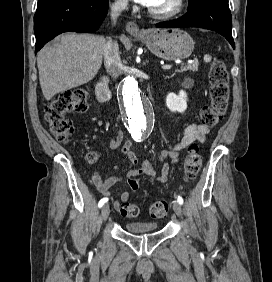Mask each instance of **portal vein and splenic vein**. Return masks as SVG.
Returning a JSON list of instances; mask_svg holds the SVG:
<instances>
[{"label":"portal vein and splenic vein","mask_w":272,"mask_h":282,"mask_svg":"<svg viewBox=\"0 0 272 282\" xmlns=\"http://www.w3.org/2000/svg\"><path fill=\"white\" fill-rule=\"evenodd\" d=\"M172 68V65H170V64H168V65H163L162 66V69L163 70H169V69H171Z\"/></svg>","instance_id":"portal-vein-and-splenic-vein-1"}]
</instances>
